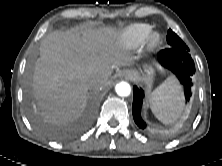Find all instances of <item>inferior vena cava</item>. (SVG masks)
Instances as JSON below:
<instances>
[{
	"label": "inferior vena cava",
	"mask_w": 222,
	"mask_h": 166,
	"mask_svg": "<svg viewBox=\"0 0 222 166\" xmlns=\"http://www.w3.org/2000/svg\"><path fill=\"white\" fill-rule=\"evenodd\" d=\"M94 85L99 88V89H102L103 88V82L102 81H98V80H95L93 81Z\"/></svg>",
	"instance_id": "inferior-vena-cava-1"
}]
</instances>
